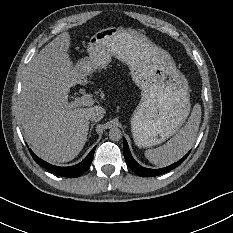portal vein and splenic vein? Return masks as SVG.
I'll return each instance as SVG.
<instances>
[{
	"instance_id": "obj_1",
	"label": "portal vein and splenic vein",
	"mask_w": 233,
	"mask_h": 233,
	"mask_svg": "<svg viewBox=\"0 0 233 233\" xmlns=\"http://www.w3.org/2000/svg\"><path fill=\"white\" fill-rule=\"evenodd\" d=\"M95 103V99L91 96H83L80 98H76L75 101L72 103L71 107L77 106H91Z\"/></svg>"
}]
</instances>
